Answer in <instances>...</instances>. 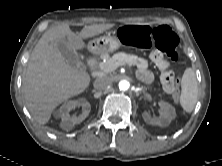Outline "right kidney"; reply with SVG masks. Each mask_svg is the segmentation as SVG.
<instances>
[{"label": "right kidney", "instance_id": "ca27d5eb", "mask_svg": "<svg viewBox=\"0 0 222 166\" xmlns=\"http://www.w3.org/2000/svg\"><path fill=\"white\" fill-rule=\"evenodd\" d=\"M76 107H82V112L76 116H70V111ZM91 109L90 103L81 98L79 100H70L63 104L56 112V117L61 118L60 127L64 130H71L75 124L81 123L88 115Z\"/></svg>", "mask_w": 222, "mask_h": 166}]
</instances>
